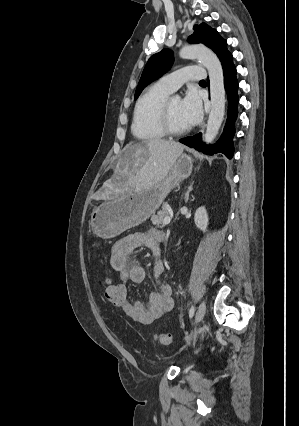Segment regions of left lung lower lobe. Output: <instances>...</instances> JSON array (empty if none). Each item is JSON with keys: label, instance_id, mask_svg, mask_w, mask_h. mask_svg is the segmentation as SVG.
<instances>
[{"label": "left lung lower lobe", "instance_id": "0a47b994", "mask_svg": "<svg viewBox=\"0 0 299 426\" xmlns=\"http://www.w3.org/2000/svg\"><path fill=\"white\" fill-rule=\"evenodd\" d=\"M224 71V84L228 94V117L221 138L211 146H206L202 142V134H196L191 137L180 139L179 141L189 147L203 152L207 155L223 153L227 158L231 159L234 152L232 138L235 134V120L237 118L238 82L236 79V68L233 64L231 53L225 49L218 54Z\"/></svg>", "mask_w": 299, "mask_h": 426}]
</instances>
